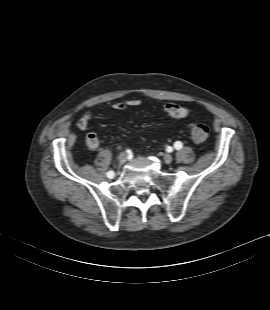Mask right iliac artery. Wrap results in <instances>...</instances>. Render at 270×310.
I'll return each mask as SVG.
<instances>
[{
	"label": "right iliac artery",
	"instance_id": "1",
	"mask_svg": "<svg viewBox=\"0 0 270 310\" xmlns=\"http://www.w3.org/2000/svg\"><path fill=\"white\" fill-rule=\"evenodd\" d=\"M107 177H108V178H113V177H114V172H113V171H109V172L107 173Z\"/></svg>",
	"mask_w": 270,
	"mask_h": 310
}]
</instances>
